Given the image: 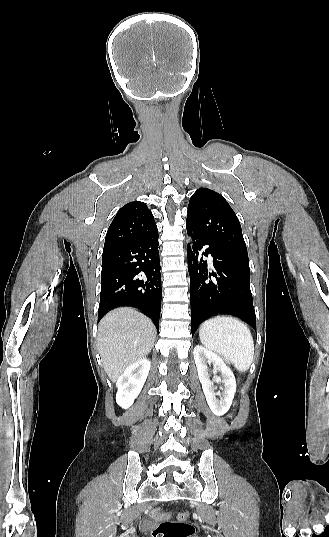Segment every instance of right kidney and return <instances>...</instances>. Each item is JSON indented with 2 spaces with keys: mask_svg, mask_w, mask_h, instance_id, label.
<instances>
[{
  "mask_svg": "<svg viewBox=\"0 0 329 537\" xmlns=\"http://www.w3.org/2000/svg\"><path fill=\"white\" fill-rule=\"evenodd\" d=\"M150 366V361L142 358L128 366L119 376L116 383V402L120 407L127 409L133 404L143 388Z\"/></svg>",
  "mask_w": 329,
  "mask_h": 537,
  "instance_id": "right-kidney-1",
  "label": "right kidney"
}]
</instances>
